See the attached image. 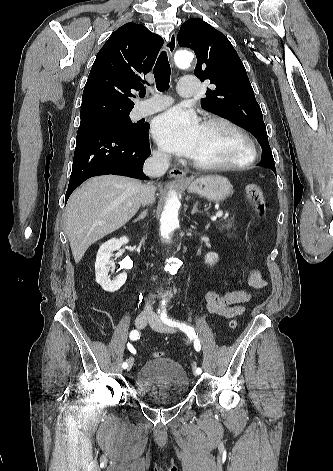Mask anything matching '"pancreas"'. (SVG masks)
Masks as SVG:
<instances>
[{
  "instance_id": "cf45deb5",
  "label": "pancreas",
  "mask_w": 333,
  "mask_h": 471,
  "mask_svg": "<svg viewBox=\"0 0 333 471\" xmlns=\"http://www.w3.org/2000/svg\"><path fill=\"white\" fill-rule=\"evenodd\" d=\"M234 226V219L225 217L220 222H217V227L219 230H230Z\"/></svg>"
}]
</instances>
